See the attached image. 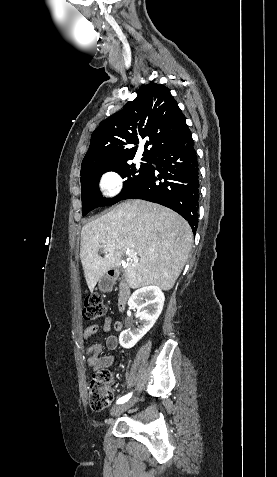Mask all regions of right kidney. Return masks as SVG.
I'll return each mask as SVG.
<instances>
[{
  "label": "right kidney",
  "instance_id": "ca27d5eb",
  "mask_svg": "<svg viewBox=\"0 0 277 477\" xmlns=\"http://www.w3.org/2000/svg\"><path fill=\"white\" fill-rule=\"evenodd\" d=\"M164 301V294L158 286H145L132 294L128 306L137 310L136 318L142 325L137 329L128 327L121 332L119 343L123 348H132L153 327L162 312Z\"/></svg>",
  "mask_w": 277,
  "mask_h": 477
}]
</instances>
